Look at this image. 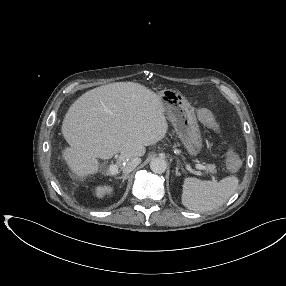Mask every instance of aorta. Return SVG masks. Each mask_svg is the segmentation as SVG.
<instances>
[{
  "label": "aorta",
  "instance_id": "obj_1",
  "mask_svg": "<svg viewBox=\"0 0 286 286\" xmlns=\"http://www.w3.org/2000/svg\"><path fill=\"white\" fill-rule=\"evenodd\" d=\"M150 169L157 174H162L167 169V163L163 158H153L150 162Z\"/></svg>",
  "mask_w": 286,
  "mask_h": 286
}]
</instances>
